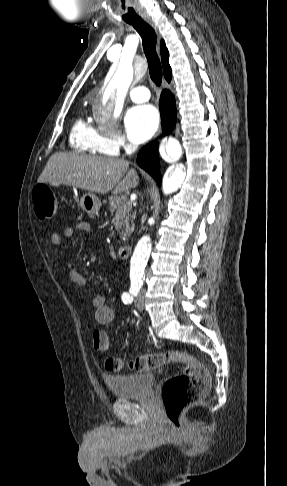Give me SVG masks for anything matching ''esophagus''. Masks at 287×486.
<instances>
[{
  "instance_id": "34e87169",
  "label": "esophagus",
  "mask_w": 287,
  "mask_h": 486,
  "mask_svg": "<svg viewBox=\"0 0 287 486\" xmlns=\"http://www.w3.org/2000/svg\"><path fill=\"white\" fill-rule=\"evenodd\" d=\"M143 19H144V21H145L146 23H148V24H149V25H150V26H151V27L154 29V31L156 32V34H157V36H158V38H159V32H158V28H157L156 24H155V23H154V22H153V21H152V20H151L149 17H146V16H145ZM159 134H160V132L158 133V135H159ZM158 135H157V136H158Z\"/></svg>"
}]
</instances>
